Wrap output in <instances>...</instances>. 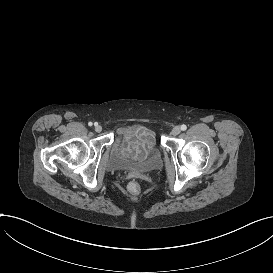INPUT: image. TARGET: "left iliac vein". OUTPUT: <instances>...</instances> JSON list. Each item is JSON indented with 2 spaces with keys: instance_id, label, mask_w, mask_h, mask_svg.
<instances>
[{
  "instance_id": "obj_1",
  "label": "left iliac vein",
  "mask_w": 273,
  "mask_h": 273,
  "mask_svg": "<svg viewBox=\"0 0 273 273\" xmlns=\"http://www.w3.org/2000/svg\"><path fill=\"white\" fill-rule=\"evenodd\" d=\"M180 132H181V129H180V127H178V126H175V127L172 129V134H173L174 136L179 135Z\"/></svg>"
}]
</instances>
